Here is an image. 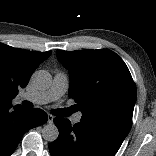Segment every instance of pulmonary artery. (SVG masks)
<instances>
[{"label":"pulmonary artery","instance_id":"1","mask_svg":"<svg viewBox=\"0 0 156 156\" xmlns=\"http://www.w3.org/2000/svg\"><path fill=\"white\" fill-rule=\"evenodd\" d=\"M68 88L69 80L67 75L62 72H57L54 75L52 84L49 89L25 93L23 95V98L36 104H46L59 100L67 92ZM81 118L82 113L79 112L73 116L72 121L74 123H79L81 121Z\"/></svg>","mask_w":156,"mask_h":156}]
</instances>
